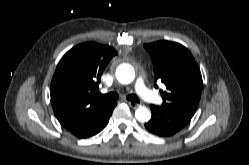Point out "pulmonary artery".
<instances>
[{
    "label": "pulmonary artery",
    "mask_w": 249,
    "mask_h": 165,
    "mask_svg": "<svg viewBox=\"0 0 249 165\" xmlns=\"http://www.w3.org/2000/svg\"><path fill=\"white\" fill-rule=\"evenodd\" d=\"M135 89L144 101L151 103L161 102L160 97L145 86L144 79L142 77H138V79L136 80Z\"/></svg>",
    "instance_id": "pulmonary-artery-1"
}]
</instances>
